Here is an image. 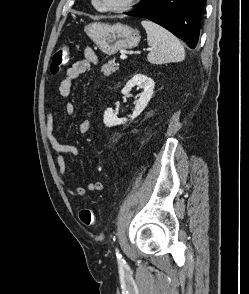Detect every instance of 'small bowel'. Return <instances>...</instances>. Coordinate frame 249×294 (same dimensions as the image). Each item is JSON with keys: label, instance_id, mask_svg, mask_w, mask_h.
Listing matches in <instances>:
<instances>
[{"label": "small bowel", "instance_id": "1", "mask_svg": "<svg viewBox=\"0 0 249 294\" xmlns=\"http://www.w3.org/2000/svg\"><path fill=\"white\" fill-rule=\"evenodd\" d=\"M84 59L76 61L66 71L65 78L60 82L58 87L59 95L62 98H68L71 93L72 82L80 75L88 72L92 65H96L99 62L98 56L95 51L91 48L84 50ZM65 110L68 115H73L76 111L75 105L72 102H68L65 105ZM91 129V122L87 119L83 120L79 124V132L86 134ZM46 136L52 152L55 155L56 163L58 167L59 181L64 190L73 197H81L85 195L86 191L97 192L104 188V184L100 181L90 182L83 186L68 187L67 182V166L66 156L74 157L79 153V149L71 144L62 143L55 133V118L54 113L50 109L46 115Z\"/></svg>", "mask_w": 249, "mask_h": 294}]
</instances>
